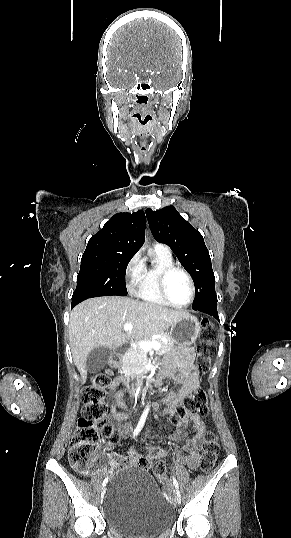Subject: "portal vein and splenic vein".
<instances>
[{
	"mask_svg": "<svg viewBox=\"0 0 291 538\" xmlns=\"http://www.w3.org/2000/svg\"><path fill=\"white\" fill-rule=\"evenodd\" d=\"M132 327H133V326H132L131 323H125L123 329H124V330H130V329H132ZM139 346H140L143 350H145V351H149V350H151V349H155V350L160 349L161 344H160L159 342H154V341H152V342L142 341V342L139 343Z\"/></svg>",
	"mask_w": 291,
	"mask_h": 538,
	"instance_id": "obj_1",
	"label": "portal vein and splenic vein"
}]
</instances>
